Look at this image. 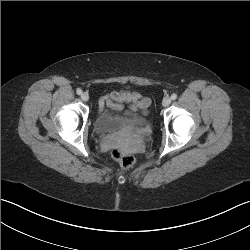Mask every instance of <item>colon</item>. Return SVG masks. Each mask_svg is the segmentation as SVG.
I'll use <instances>...</instances> for the list:
<instances>
[{
    "label": "colon",
    "instance_id": "colon-1",
    "mask_svg": "<svg viewBox=\"0 0 250 250\" xmlns=\"http://www.w3.org/2000/svg\"><path fill=\"white\" fill-rule=\"evenodd\" d=\"M110 153L112 158L117 161L123 169H130L135 164V158L126 153L121 147H113Z\"/></svg>",
    "mask_w": 250,
    "mask_h": 250
}]
</instances>
